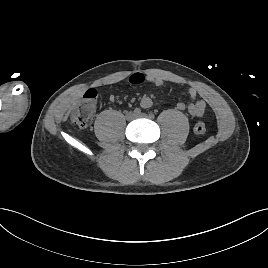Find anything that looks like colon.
<instances>
[{
    "mask_svg": "<svg viewBox=\"0 0 268 268\" xmlns=\"http://www.w3.org/2000/svg\"><path fill=\"white\" fill-rule=\"evenodd\" d=\"M97 105V92L89 89L83 96L81 103L75 106L69 114L70 121L81 129L90 127ZM194 132L203 135L206 132V126L203 122H197L194 125Z\"/></svg>",
    "mask_w": 268,
    "mask_h": 268,
    "instance_id": "obj_1",
    "label": "colon"
}]
</instances>
